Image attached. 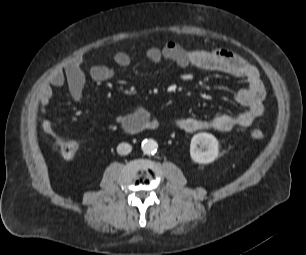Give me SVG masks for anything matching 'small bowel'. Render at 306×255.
I'll list each match as a JSON object with an SVG mask.
<instances>
[{
    "mask_svg": "<svg viewBox=\"0 0 306 255\" xmlns=\"http://www.w3.org/2000/svg\"><path fill=\"white\" fill-rule=\"evenodd\" d=\"M145 56L153 63H159L165 59L175 63L180 68L194 67L206 71L220 72L241 79L246 84L236 94V101L243 107V110L235 114H219L208 119L175 117L173 124L182 131L189 133L201 130L225 132L234 127H249L264 112L265 89L258 70L241 56L228 49L198 48L189 50L177 42L170 41L163 47H148ZM113 59L117 69L121 72H125L131 64L130 56L124 51L116 52ZM82 64V57H75L62 69L55 71L50 76L48 83L41 88L38 95L43 111L46 110L53 96L54 87L67 85L72 99L75 102L81 101L86 83ZM117 69L107 65L94 64L90 67L89 75L95 82H105L116 76ZM148 117V111L140 107L126 116L123 119V124L129 127L147 121ZM41 127L46 134L54 138L60 137L50 120H43Z\"/></svg>",
    "mask_w": 306,
    "mask_h": 255,
    "instance_id": "1",
    "label": "small bowel"
}]
</instances>
